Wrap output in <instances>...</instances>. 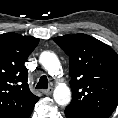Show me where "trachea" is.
Segmentation results:
<instances>
[{
	"label": "trachea",
	"mask_w": 118,
	"mask_h": 118,
	"mask_svg": "<svg viewBox=\"0 0 118 118\" xmlns=\"http://www.w3.org/2000/svg\"><path fill=\"white\" fill-rule=\"evenodd\" d=\"M48 79L45 75L41 76L39 82L37 83L36 89H47Z\"/></svg>",
	"instance_id": "3493384b"
}]
</instances>
